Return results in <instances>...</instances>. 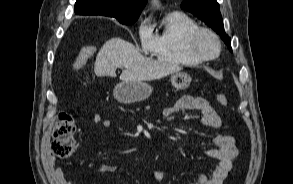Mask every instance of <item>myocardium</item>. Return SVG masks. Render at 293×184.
Returning <instances> with one entry per match:
<instances>
[{"mask_svg": "<svg viewBox=\"0 0 293 184\" xmlns=\"http://www.w3.org/2000/svg\"><path fill=\"white\" fill-rule=\"evenodd\" d=\"M207 34L211 36L217 43V52L214 55H205L198 49V40L201 35ZM186 48L188 53L200 62L211 61L219 57L222 51V42L219 36L209 28L198 27L192 31L186 41Z\"/></svg>", "mask_w": 293, "mask_h": 184, "instance_id": "f54148a6", "label": "myocardium"}]
</instances>
